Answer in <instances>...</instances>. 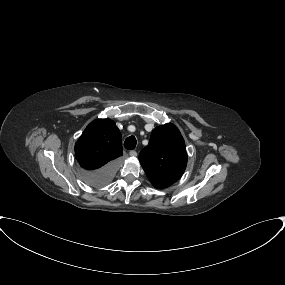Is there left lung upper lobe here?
<instances>
[{
	"label": "left lung upper lobe",
	"instance_id": "left-lung-upper-lobe-1",
	"mask_svg": "<svg viewBox=\"0 0 285 285\" xmlns=\"http://www.w3.org/2000/svg\"><path fill=\"white\" fill-rule=\"evenodd\" d=\"M147 177L157 189L178 181L187 165L184 139L173 124L158 126L152 131L149 144L139 154Z\"/></svg>",
	"mask_w": 285,
	"mask_h": 285
}]
</instances>
